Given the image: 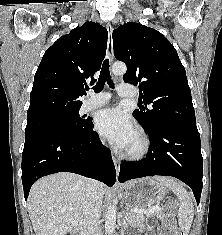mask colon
I'll use <instances>...</instances> for the list:
<instances>
[{"instance_id":"1","label":"colon","mask_w":222,"mask_h":235,"mask_svg":"<svg viewBox=\"0 0 222 235\" xmlns=\"http://www.w3.org/2000/svg\"><path fill=\"white\" fill-rule=\"evenodd\" d=\"M175 208V203H171L168 207V217L164 221L159 235H183V232L178 228L175 218L170 214Z\"/></svg>"}]
</instances>
